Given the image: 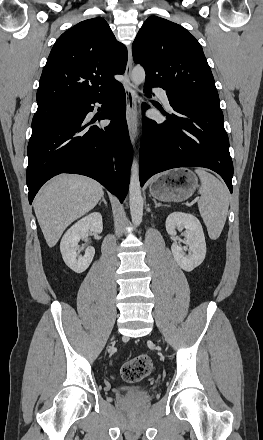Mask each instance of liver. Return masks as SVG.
<instances>
[{"instance_id": "obj_1", "label": "liver", "mask_w": 263, "mask_h": 440, "mask_svg": "<svg viewBox=\"0 0 263 440\" xmlns=\"http://www.w3.org/2000/svg\"><path fill=\"white\" fill-rule=\"evenodd\" d=\"M104 195L97 181L81 175H59L50 180L34 201V211L49 247L64 230L93 209Z\"/></svg>"}]
</instances>
